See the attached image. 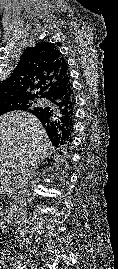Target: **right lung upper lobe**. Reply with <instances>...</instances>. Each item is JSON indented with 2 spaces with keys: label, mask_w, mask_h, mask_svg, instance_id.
Here are the masks:
<instances>
[{
  "label": "right lung upper lobe",
  "mask_w": 118,
  "mask_h": 269,
  "mask_svg": "<svg viewBox=\"0 0 118 269\" xmlns=\"http://www.w3.org/2000/svg\"><path fill=\"white\" fill-rule=\"evenodd\" d=\"M68 64L53 43L26 48L12 76L0 84V105L29 100L25 111L35 115L50 139L70 127L73 115ZM47 104L35 106L37 99Z\"/></svg>",
  "instance_id": "cb5924a9"
}]
</instances>
